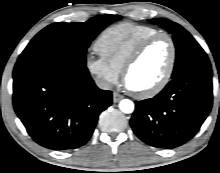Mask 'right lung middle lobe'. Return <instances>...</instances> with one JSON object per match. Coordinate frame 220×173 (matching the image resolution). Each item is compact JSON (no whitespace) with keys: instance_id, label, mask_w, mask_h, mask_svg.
Wrapping results in <instances>:
<instances>
[{"instance_id":"dd1d6c3e","label":"right lung middle lobe","mask_w":220,"mask_h":173,"mask_svg":"<svg viewBox=\"0 0 220 173\" xmlns=\"http://www.w3.org/2000/svg\"><path fill=\"white\" fill-rule=\"evenodd\" d=\"M119 15L96 16L83 23H53L41 30L20 54L18 61L60 55L86 65L90 42Z\"/></svg>"}]
</instances>
